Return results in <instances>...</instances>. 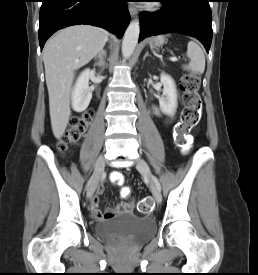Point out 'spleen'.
<instances>
[{
  "instance_id": "obj_1",
  "label": "spleen",
  "mask_w": 258,
  "mask_h": 275,
  "mask_svg": "<svg viewBox=\"0 0 258 275\" xmlns=\"http://www.w3.org/2000/svg\"><path fill=\"white\" fill-rule=\"evenodd\" d=\"M187 57L190 59L184 69L191 70L194 73H203L205 70V55L201 47L194 41H190L187 47Z\"/></svg>"
}]
</instances>
